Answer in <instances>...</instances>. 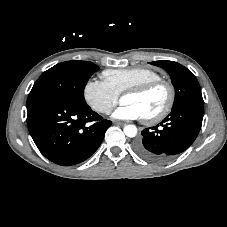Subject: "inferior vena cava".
<instances>
[{"label": "inferior vena cava", "mask_w": 227, "mask_h": 227, "mask_svg": "<svg viewBox=\"0 0 227 227\" xmlns=\"http://www.w3.org/2000/svg\"><path fill=\"white\" fill-rule=\"evenodd\" d=\"M110 112H111V109H108V110H107V113H110Z\"/></svg>", "instance_id": "1"}]
</instances>
